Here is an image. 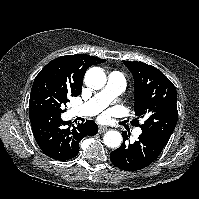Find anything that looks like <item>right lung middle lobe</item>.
<instances>
[{"instance_id":"right-lung-middle-lobe-1","label":"right lung middle lobe","mask_w":199,"mask_h":199,"mask_svg":"<svg viewBox=\"0 0 199 199\" xmlns=\"http://www.w3.org/2000/svg\"><path fill=\"white\" fill-rule=\"evenodd\" d=\"M70 96L73 95L56 84L33 83L29 100V111L49 109L61 114L65 112L64 106H66Z\"/></svg>"}]
</instances>
